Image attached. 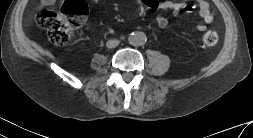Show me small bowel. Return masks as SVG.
Returning <instances> with one entry per match:
<instances>
[{
    "label": "small bowel",
    "mask_w": 253,
    "mask_h": 138,
    "mask_svg": "<svg viewBox=\"0 0 253 138\" xmlns=\"http://www.w3.org/2000/svg\"><path fill=\"white\" fill-rule=\"evenodd\" d=\"M56 0H40L39 7L46 8L52 6ZM143 2L153 10H164L170 11L174 17H177L181 12L190 14L194 11V6L189 4L186 0L181 2H172L169 0H143ZM199 8V16L202 19V23L196 26V29L200 32L206 30L207 25L212 23L214 20V14L210 8V5L206 0H195ZM156 23L159 28L165 29L169 21L162 15L156 16Z\"/></svg>",
    "instance_id": "small-bowel-1"
}]
</instances>
